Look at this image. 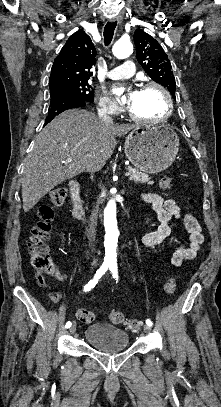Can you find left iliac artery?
Returning <instances> with one entry per match:
<instances>
[{"label": "left iliac artery", "mask_w": 221, "mask_h": 407, "mask_svg": "<svg viewBox=\"0 0 221 407\" xmlns=\"http://www.w3.org/2000/svg\"><path fill=\"white\" fill-rule=\"evenodd\" d=\"M109 268H110V271H111L112 274H113V278H115L116 280H118V267H117V264H116V263H113V264H111V265L109 266ZM146 324L149 325V326H152V325H153V323H152V321H151L150 319H147V320H146Z\"/></svg>", "instance_id": "1"}]
</instances>
